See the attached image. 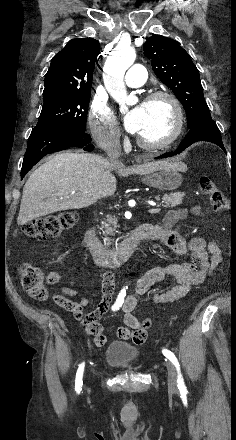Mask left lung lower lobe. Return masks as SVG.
Masks as SVG:
<instances>
[{
    "instance_id": "1",
    "label": "left lung lower lobe",
    "mask_w": 236,
    "mask_h": 440,
    "mask_svg": "<svg viewBox=\"0 0 236 440\" xmlns=\"http://www.w3.org/2000/svg\"><path fill=\"white\" fill-rule=\"evenodd\" d=\"M198 141L212 142L218 145L219 147H221L223 151H225V148L221 140L220 131L211 118V119H206L201 123H199L197 126L193 127L190 130V132L187 134V136L184 138L182 143L179 145L176 151L162 154L159 157H156L155 159L167 158L179 154L185 148Z\"/></svg>"
}]
</instances>
